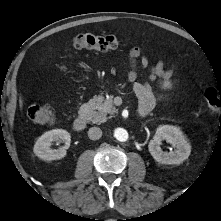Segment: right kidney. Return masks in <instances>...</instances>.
Wrapping results in <instances>:
<instances>
[{"instance_id": "obj_1", "label": "right kidney", "mask_w": 221, "mask_h": 221, "mask_svg": "<svg viewBox=\"0 0 221 221\" xmlns=\"http://www.w3.org/2000/svg\"><path fill=\"white\" fill-rule=\"evenodd\" d=\"M62 140L65 145L59 149H51L53 141ZM71 136L63 129H53L45 132L38 138L34 145V153L42 160H58L66 155V150L70 146Z\"/></svg>"}]
</instances>
